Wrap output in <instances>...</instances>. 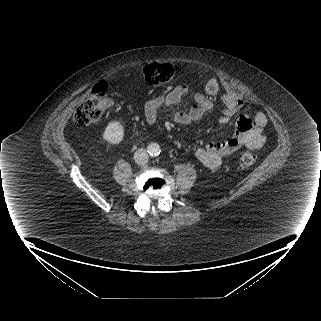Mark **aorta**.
I'll return each mask as SVG.
<instances>
[{"label": "aorta", "mask_w": 321, "mask_h": 321, "mask_svg": "<svg viewBox=\"0 0 321 321\" xmlns=\"http://www.w3.org/2000/svg\"><path fill=\"white\" fill-rule=\"evenodd\" d=\"M147 151L150 155L156 156V155L160 154L161 149L157 143H151L148 145Z\"/></svg>", "instance_id": "762f6f07"}]
</instances>
